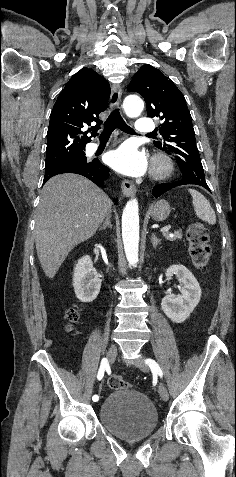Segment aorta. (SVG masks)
<instances>
[{"mask_svg": "<svg viewBox=\"0 0 236 477\" xmlns=\"http://www.w3.org/2000/svg\"><path fill=\"white\" fill-rule=\"evenodd\" d=\"M123 108L128 117H138L144 102L137 95H128L123 101ZM122 238L127 261L134 266L138 262L139 246V207L137 199L127 202L122 214Z\"/></svg>", "mask_w": 236, "mask_h": 477, "instance_id": "obj_1", "label": "aorta"}]
</instances>
